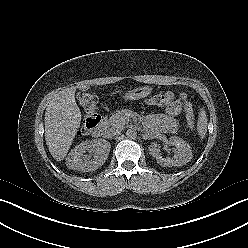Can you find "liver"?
<instances>
[{
    "label": "liver",
    "instance_id": "6515ba94",
    "mask_svg": "<svg viewBox=\"0 0 248 248\" xmlns=\"http://www.w3.org/2000/svg\"><path fill=\"white\" fill-rule=\"evenodd\" d=\"M79 88L87 89L86 86ZM75 91L74 87L60 91L45 111V140L56 161L66 157L80 127L81 112L75 101Z\"/></svg>",
    "mask_w": 248,
    "mask_h": 248
}]
</instances>
